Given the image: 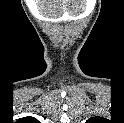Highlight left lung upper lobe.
<instances>
[{"mask_svg": "<svg viewBox=\"0 0 124 123\" xmlns=\"http://www.w3.org/2000/svg\"><path fill=\"white\" fill-rule=\"evenodd\" d=\"M98 119V117L91 118L90 120Z\"/></svg>", "mask_w": 124, "mask_h": 123, "instance_id": "obj_1", "label": "left lung upper lobe"}]
</instances>
